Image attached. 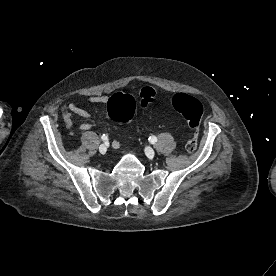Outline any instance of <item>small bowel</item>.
I'll use <instances>...</instances> for the list:
<instances>
[{
    "mask_svg": "<svg viewBox=\"0 0 276 276\" xmlns=\"http://www.w3.org/2000/svg\"><path fill=\"white\" fill-rule=\"evenodd\" d=\"M87 101L91 104H106L108 101V97L104 95H95L89 97ZM74 114L78 115L82 119V123L80 124V130L86 131L91 128L92 124L90 122V113L85 109L79 107L78 104L75 102H71L62 108V116L68 128H71L73 126ZM123 144L124 141L122 140H115L113 142V146L115 148H121Z\"/></svg>",
    "mask_w": 276,
    "mask_h": 276,
    "instance_id": "obj_1",
    "label": "small bowel"
}]
</instances>
